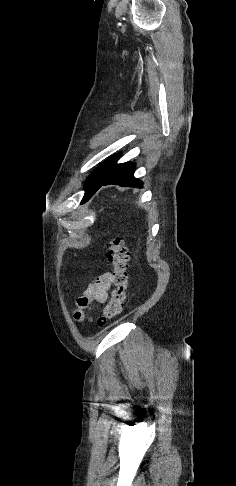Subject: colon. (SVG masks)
Wrapping results in <instances>:
<instances>
[{
  "mask_svg": "<svg viewBox=\"0 0 236 486\" xmlns=\"http://www.w3.org/2000/svg\"><path fill=\"white\" fill-rule=\"evenodd\" d=\"M107 248L108 262L113 269L112 281L114 289L109 302L98 319V324L100 326L105 325L109 320L122 312L128 286V262L130 254L125 246L123 238L120 236L113 238L108 243Z\"/></svg>",
  "mask_w": 236,
  "mask_h": 486,
  "instance_id": "1",
  "label": "colon"
}]
</instances>
